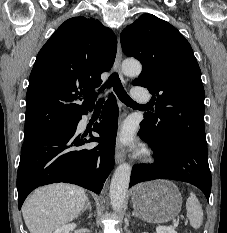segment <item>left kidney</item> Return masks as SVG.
Instances as JSON below:
<instances>
[{
    "instance_id": "obj_1",
    "label": "left kidney",
    "mask_w": 227,
    "mask_h": 233,
    "mask_svg": "<svg viewBox=\"0 0 227 233\" xmlns=\"http://www.w3.org/2000/svg\"><path fill=\"white\" fill-rule=\"evenodd\" d=\"M157 233H177L173 228L166 226H159L156 228Z\"/></svg>"
}]
</instances>
